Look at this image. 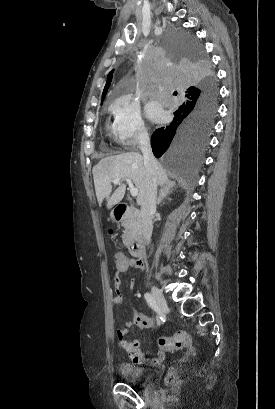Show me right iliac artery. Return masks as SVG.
Listing matches in <instances>:
<instances>
[{
  "instance_id": "right-iliac-artery-1",
  "label": "right iliac artery",
  "mask_w": 275,
  "mask_h": 409,
  "mask_svg": "<svg viewBox=\"0 0 275 409\" xmlns=\"http://www.w3.org/2000/svg\"><path fill=\"white\" fill-rule=\"evenodd\" d=\"M144 298L146 300V302L148 303V305L153 309V310H157V305H156V301L154 299V297L150 294V293H145L144 294ZM158 325H160V321L158 320Z\"/></svg>"
}]
</instances>
